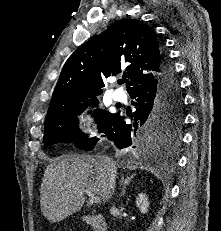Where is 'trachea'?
Instances as JSON below:
<instances>
[{"mask_svg": "<svg viewBox=\"0 0 221 231\" xmlns=\"http://www.w3.org/2000/svg\"><path fill=\"white\" fill-rule=\"evenodd\" d=\"M125 82H127V80L124 78V79H121V80H119V83L120 84H123V83H125Z\"/></svg>", "mask_w": 221, "mask_h": 231, "instance_id": "1", "label": "trachea"}]
</instances>
